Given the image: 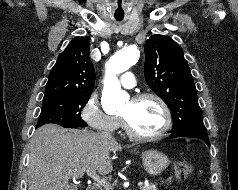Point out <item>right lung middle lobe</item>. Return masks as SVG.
<instances>
[{
  "label": "right lung middle lobe",
  "instance_id": "obj_1",
  "mask_svg": "<svg viewBox=\"0 0 238 190\" xmlns=\"http://www.w3.org/2000/svg\"><path fill=\"white\" fill-rule=\"evenodd\" d=\"M90 95H61L43 98L42 110L36 128L55 123L66 128L85 127L80 112Z\"/></svg>",
  "mask_w": 238,
  "mask_h": 190
}]
</instances>
